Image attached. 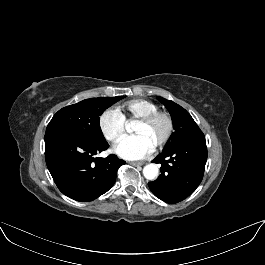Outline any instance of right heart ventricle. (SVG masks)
I'll use <instances>...</instances> for the list:
<instances>
[{"mask_svg": "<svg viewBox=\"0 0 265 265\" xmlns=\"http://www.w3.org/2000/svg\"><path fill=\"white\" fill-rule=\"evenodd\" d=\"M158 105L146 99H133L118 107V112L124 120L138 119L151 112L157 111Z\"/></svg>", "mask_w": 265, "mask_h": 265, "instance_id": "e07e8e85", "label": "right heart ventricle"}]
</instances>
